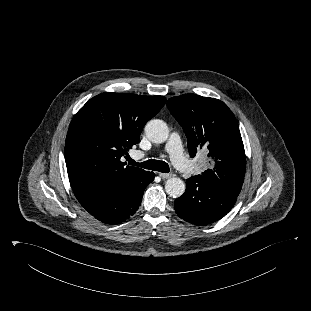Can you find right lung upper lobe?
<instances>
[{"label":"right lung upper lobe","instance_id":"cb5924a9","mask_svg":"<svg viewBox=\"0 0 311 311\" xmlns=\"http://www.w3.org/2000/svg\"><path fill=\"white\" fill-rule=\"evenodd\" d=\"M164 96L105 92L73 117L65 142L71 187L103 183L129 187L150 172L126 166L121 158L138 144L144 125L165 105Z\"/></svg>","mask_w":311,"mask_h":311}]
</instances>
